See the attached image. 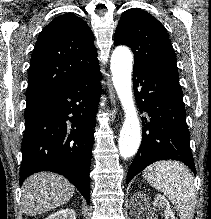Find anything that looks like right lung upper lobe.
<instances>
[{"label":"right lung upper lobe","instance_id":"obj_1","mask_svg":"<svg viewBox=\"0 0 211 219\" xmlns=\"http://www.w3.org/2000/svg\"><path fill=\"white\" fill-rule=\"evenodd\" d=\"M99 67L94 35L74 13L56 17L39 34L28 75L26 102L41 99Z\"/></svg>","mask_w":211,"mask_h":219}]
</instances>
